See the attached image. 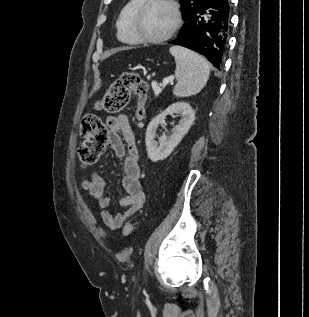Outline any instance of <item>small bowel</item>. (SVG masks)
I'll use <instances>...</instances> for the list:
<instances>
[{
	"instance_id": "small-bowel-1",
	"label": "small bowel",
	"mask_w": 309,
	"mask_h": 317,
	"mask_svg": "<svg viewBox=\"0 0 309 317\" xmlns=\"http://www.w3.org/2000/svg\"><path fill=\"white\" fill-rule=\"evenodd\" d=\"M108 146L123 161L122 186L125 195L119 200L123 213L112 214L107 210L110 199L105 194V181L93 172L81 182V187L96 200L101 210L102 222L110 229L121 228L144 205L146 193L141 180L139 153L129 119L125 115L109 116L106 120Z\"/></svg>"
}]
</instances>
